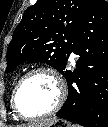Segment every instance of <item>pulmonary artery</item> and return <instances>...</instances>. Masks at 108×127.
I'll return each mask as SVG.
<instances>
[{
	"label": "pulmonary artery",
	"instance_id": "1",
	"mask_svg": "<svg viewBox=\"0 0 108 127\" xmlns=\"http://www.w3.org/2000/svg\"><path fill=\"white\" fill-rule=\"evenodd\" d=\"M75 55L72 53L71 57L73 58Z\"/></svg>",
	"mask_w": 108,
	"mask_h": 127
}]
</instances>
